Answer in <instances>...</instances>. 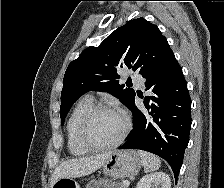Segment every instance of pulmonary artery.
<instances>
[{
  "instance_id": "pulmonary-artery-1",
  "label": "pulmonary artery",
  "mask_w": 224,
  "mask_h": 188,
  "mask_svg": "<svg viewBox=\"0 0 224 188\" xmlns=\"http://www.w3.org/2000/svg\"><path fill=\"white\" fill-rule=\"evenodd\" d=\"M132 78L136 81L139 87H143V82L141 81V79L137 74H132Z\"/></svg>"
}]
</instances>
